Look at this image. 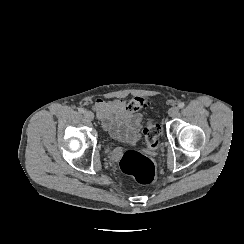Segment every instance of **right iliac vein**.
I'll list each match as a JSON object with an SVG mask.
<instances>
[{
  "label": "right iliac vein",
  "instance_id": "obj_1",
  "mask_svg": "<svg viewBox=\"0 0 244 244\" xmlns=\"http://www.w3.org/2000/svg\"><path fill=\"white\" fill-rule=\"evenodd\" d=\"M84 116L87 120L92 121L94 119V114L91 111H85Z\"/></svg>",
  "mask_w": 244,
  "mask_h": 244
}]
</instances>
